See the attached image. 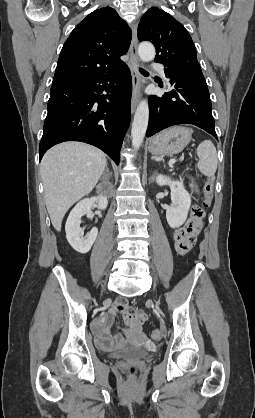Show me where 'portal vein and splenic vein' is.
<instances>
[{
	"instance_id": "portal-vein-and-splenic-vein-1",
	"label": "portal vein and splenic vein",
	"mask_w": 255,
	"mask_h": 418,
	"mask_svg": "<svg viewBox=\"0 0 255 418\" xmlns=\"http://www.w3.org/2000/svg\"><path fill=\"white\" fill-rule=\"evenodd\" d=\"M176 162V159H170L169 160V165H172V164H174Z\"/></svg>"
}]
</instances>
